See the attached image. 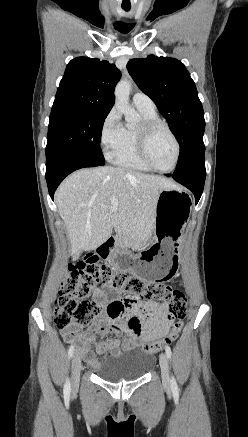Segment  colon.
<instances>
[{
	"label": "colon",
	"instance_id": "colon-1",
	"mask_svg": "<svg viewBox=\"0 0 248 437\" xmlns=\"http://www.w3.org/2000/svg\"><path fill=\"white\" fill-rule=\"evenodd\" d=\"M102 257L90 255L71 264L61 283L54 321L59 329L71 326L85 327L93 324L104 308L108 306L95 300L92 294L101 285H110L115 291L127 294L129 298L144 301H160L168 306V320L171 329L162 338L145 342L142 350L157 353L165 344L173 343L183 327L187 311L185 295L171 286H144V279L126 272H115L114 268L101 262ZM110 305V304H109Z\"/></svg>",
	"mask_w": 248,
	"mask_h": 437
}]
</instances>
